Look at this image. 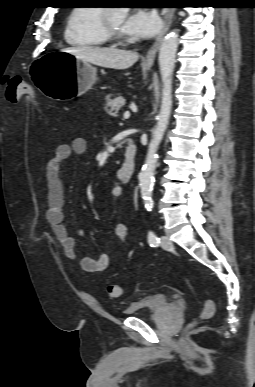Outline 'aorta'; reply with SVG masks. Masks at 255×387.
I'll return each instance as SVG.
<instances>
[{
    "label": "aorta",
    "mask_w": 255,
    "mask_h": 387,
    "mask_svg": "<svg viewBox=\"0 0 255 387\" xmlns=\"http://www.w3.org/2000/svg\"><path fill=\"white\" fill-rule=\"evenodd\" d=\"M120 11L126 13L128 9L122 8ZM177 48L178 32L177 30H173L164 37L159 49L158 60L163 83L161 107L157 117V124L152 133L145 164L139 174L141 196L148 211H151L153 208V175L158 161L157 149L169 123L172 109V75L175 67Z\"/></svg>",
    "instance_id": "obj_1"
}]
</instances>
